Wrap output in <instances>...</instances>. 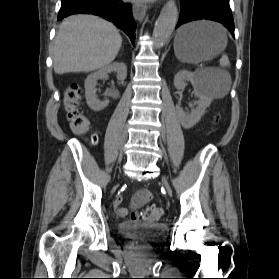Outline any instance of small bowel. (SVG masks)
Listing matches in <instances>:
<instances>
[{
    "label": "small bowel",
    "instance_id": "1",
    "mask_svg": "<svg viewBox=\"0 0 279 279\" xmlns=\"http://www.w3.org/2000/svg\"><path fill=\"white\" fill-rule=\"evenodd\" d=\"M151 198V192L147 189H140L136 192L132 200V207L139 208ZM122 197L119 196L114 202V210L117 216L124 217L127 214V210L120 206Z\"/></svg>",
    "mask_w": 279,
    "mask_h": 279
}]
</instances>
